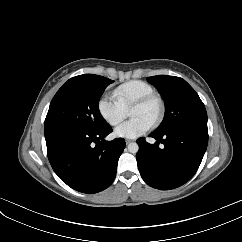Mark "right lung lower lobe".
Returning <instances> with one entry per match:
<instances>
[{"mask_svg":"<svg viewBox=\"0 0 242 242\" xmlns=\"http://www.w3.org/2000/svg\"><path fill=\"white\" fill-rule=\"evenodd\" d=\"M111 132L110 126L100 131L81 126L45 130L48 159L58 177L69 187L88 194L109 187L126 146L123 138L105 141Z\"/></svg>","mask_w":242,"mask_h":242,"instance_id":"1","label":"right lung lower lobe"}]
</instances>
